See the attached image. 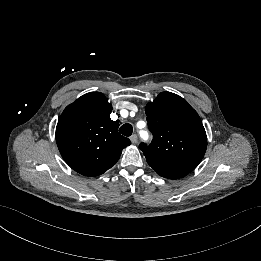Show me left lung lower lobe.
I'll list each match as a JSON object with an SVG mask.
<instances>
[{
    "instance_id": "left-lung-lower-lobe-1",
    "label": "left lung lower lobe",
    "mask_w": 261,
    "mask_h": 261,
    "mask_svg": "<svg viewBox=\"0 0 261 261\" xmlns=\"http://www.w3.org/2000/svg\"><path fill=\"white\" fill-rule=\"evenodd\" d=\"M160 176L165 177V178H169V179H178L180 177L171 175V174H167V173H158Z\"/></svg>"
}]
</instances>
